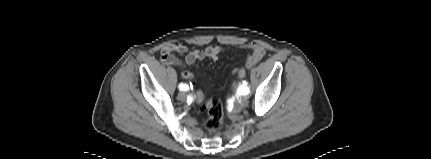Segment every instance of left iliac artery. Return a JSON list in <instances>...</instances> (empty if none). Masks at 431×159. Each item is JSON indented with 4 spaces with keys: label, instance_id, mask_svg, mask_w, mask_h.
Returning <instances> with one entry per match:
<instances>
[{
    "label": "left iliac artery",
    "instance_id": "44dca946",
    "mask_svg": "<svg viewBox=\"0 0 431 159\" xmlns=\"http://www.w3.org/2000/svg\"><path fill=\"white\" fill-rule=\"evenodd\" d=\"M239 94L248 95L249 94V88L246 86H241L238 89Z\"/></svg>",
    "mask_w": 431,
    "mask_h": 159
}]
</instances>
